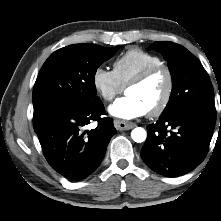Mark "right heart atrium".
<instances>
[{
  "mask_svg": "<svg viewBox=\"0 0 221 221\" xmlns=\"http://www.w3.org/2000/svg\"><path fill=\"white\" fill-rule=\"evenodd\" d=\"M92 83L97 94L107 102L112 101L124 89L114 72L102 66L94 70Z\"/></svg>",
  "mask_w": 221,
  "mask_h": 221,
  "instance_id": "1",
  "label": "right heart atrium"
}]
</instances>
